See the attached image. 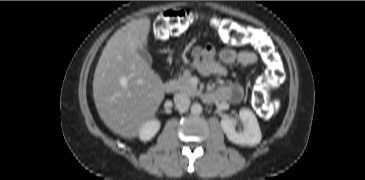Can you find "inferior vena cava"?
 Returning a JSON list of instances; mask_svg holds the SVG:
<instances>
[{
    "mask_svg": "<svg viewBox=\"0 0 365 180\" xmlns=\"http://www.w3.org/2000/svg\"><path fill=\"white\" fill-rule=\"evenodd\" d=\"M174 103L179 111L184 112L190 106V99L186 94H176L174 96Z\"/></svg>",
    "mask_w": 365,
    "mask_h": 180,
    "instance_id": "1",
    "label": "inferior vena cava"
}]
</instances>
